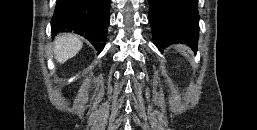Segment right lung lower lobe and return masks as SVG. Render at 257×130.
I'll use <instances>...</instances> for the list:
<instances>
[{
    "label": "right lung lower lobe",
    "mask_w": 257,
    "mask_h": 130,
    "mask_svg": "<svg viewBox=\"0 0 257 130\" xmlns=\"http://www.w3.org/2000/svg\"><path fill=\"white\" fill-rule=\"evenodd\" d=\"M109 6L110 0H58L51 21L52 32L72 29L100 53L107 37Z\"/></svg>",
    "instance_id": "1"
}]
</instances>
